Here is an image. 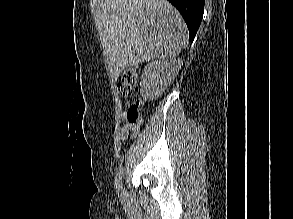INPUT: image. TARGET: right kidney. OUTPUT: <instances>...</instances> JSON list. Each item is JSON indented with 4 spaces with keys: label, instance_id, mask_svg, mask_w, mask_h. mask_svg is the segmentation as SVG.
<instances>
[{
    "label": "right kidney",
    "instance_id": "1",
    "mask_svg": "<svg viewBox=\"0 0 293 219\" xmlns=\"http://www.w3.org/2000/svg\"><path fill=\"white\" fill-rule=\"evenodd\" d=\"M182 59L161 58L149 63L143 70L140 80V94L144 100L159 97L177 76Z\"/></svg>",
    "mask_w": 293,
    "mask_h": 219
}]
</instances>
